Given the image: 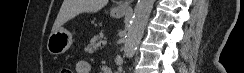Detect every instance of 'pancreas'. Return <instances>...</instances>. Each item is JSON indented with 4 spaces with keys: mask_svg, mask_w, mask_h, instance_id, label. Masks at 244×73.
I'll return each mask as SVG.
<instances>
[{
    "mask_svg": "<svg viewBox=\"0 0 244 73\" xmlns=\"http://www.w3.org/2000/svg\"><path fill=\"white\" fill-rule=\"evenodd\" d=\"M101 41H102L101 36L99 35L94 36L91 39L90 44L85 48V51L91 54L94 53L101 47Z\"/></svg>",
    "mask_w": 244,
    "mask_h": 73,
    "instance_id": "pancreas-1",
    "label": "pancreas"
}]
</instances>
